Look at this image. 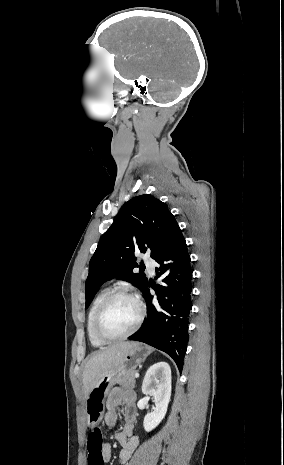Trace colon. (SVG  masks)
Returning a JSON list of instances; mask_svg holds the SVG:
<instances>
[{"instance_id":"5ec220e1","label":"colon","mask_w":284,"mask_h":465,"mask_svg":"<svg viewBox=\"0 0 284 465\" xmlns=\"http://www.w3.org/2000/svg\"><path fill=\"white\" fill-rule=\"evenodd\" d=\"M90 439L88 440L87 444V451L89 452L87 458L88 465H103V461L101 458V451L103 447V440L99 439L102 438L104 435L103 430L100 427L96 429H91L89 432Z\"/></svg>"}]
</instances>
